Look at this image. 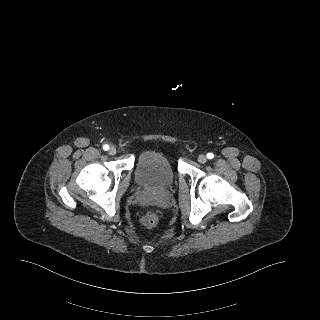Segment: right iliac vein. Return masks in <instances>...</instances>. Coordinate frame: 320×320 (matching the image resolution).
I'll return each instance as SVG.
<instances>
[{
    "instance_id": "obj_1",
    "label": "right iliac vein",
    "mask_w": 320,
    "mask_h": 320,
    "mask_svg": "<svg viewBox=\"0 0 320 320\" xmlns=\"http://www.w3.org/2000/svg\"><path fill=\"white\" fill-rule=\"evenodd\" d=\"M110 155H115L116 154V148L115 147H111L109 149V152H108Z\"/></svg>"
}]
</instances>
